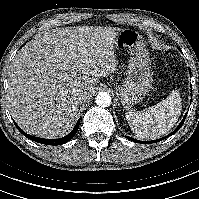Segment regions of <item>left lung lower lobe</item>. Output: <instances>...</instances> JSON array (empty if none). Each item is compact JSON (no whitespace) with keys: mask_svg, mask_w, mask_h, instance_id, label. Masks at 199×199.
<instances>
[{"mask_svg":"<svg viewBox=\"0 0 199 199\" xmlns=\"http://www.w3.org/2000/svg\"><path fill=\"white\" fill-rule=\"evenodd\" d=\"M179 50L181 51L180 48H179ZM190 73H191V71H190ZM191 91H192V86H191ZM186 115H187V113L185 114L183 120L181 121V123L178 125V127L176 128V130H175L174 132H172L171 134H169V135H167V136H165V137H163V138H161V139H157V140H153V141H139V140L134 139V138H131V137H127V138H128L129 140H131V141L138 142V143H144V142H146V143H155V142H159V141H161V140H163V139L169 137L170 135L176 133V132L181 128V126L183 125V123H184V121H185V118H186Z\"/></svg>","mask_w":199,"mask_h":199,"instance_id":"obj_1","label":"left lung lower lobe"}]
</instances>
